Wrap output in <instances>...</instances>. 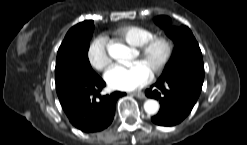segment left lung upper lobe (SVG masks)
<instances>
[{
	"label": "left lung upper lobe",
	"instance_id": "1",
	"mask_svg": "<svg viewBox=\"0 0 247 145\" xmlns=\"http://www.w3.org/2000/svg\"><path fill=\"white\" fill-rule=\"evenodd\" d=\"M155 21L159 26L165 28L166 34L175 44L170 63L166 66L163 75L180 68L204 69L201 50L188 27L173 26L167 16H159Z\"/></svg>",
	"mask_w": 247,
	"mask_h": 145
}]
</instances>
